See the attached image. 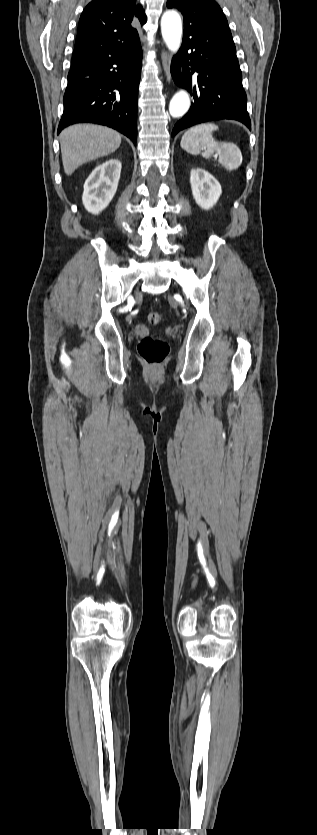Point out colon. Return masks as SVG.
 <instances>
[{
	"label": "colon",
	"instance_id": "1",
	"mask_svg": "<svg viewBox=\"0 0 317 835\" xmlns=\"http://www.w3.org/2000/svg\"><path fill=\"white\" fill-rule=\"evenodd\" d=\"M147 320L151 325H157L161 321V315L158 312H151ZM138 352L149 366L158 367L168 354V345L160 338L148 336L140 341Z\"/></svg>",
	"mask_w": 317,
	"mask_h": 835
}]
</instances>
